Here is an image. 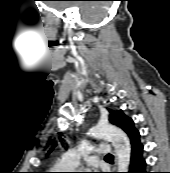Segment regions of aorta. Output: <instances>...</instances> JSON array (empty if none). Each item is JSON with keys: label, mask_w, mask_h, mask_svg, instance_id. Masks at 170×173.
<instances>
[{"label": "aorta", "mask_w": 170, "mask_h": 173, "mask_svg": "<svg viewBox=\"0 0 170 173\" xmlns=\"http://www.w3.org/2000/svg\"><path fill=\"white\" fill-rule=\"evenodd\" d=\"M90 132L95 137L112 142L117 157L118 172H127L131 158V146L127 135L121 129L108 123H99Z\"/></svg>", "instance_id": "1"}]
</instances>
